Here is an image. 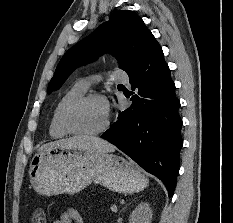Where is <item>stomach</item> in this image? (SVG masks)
<instances>
[{
  "instance_id": "stomach-1",
  "label": "stomach",
  "mask_w": 233,
  "mask_h": 223,
  "mask_svg": "<svg viewBox=\"0 0 233 223\" xmlns=\"http://www.w3.org/2000/svg\"><path fill=\"white\" fill-rule=\"evenodd\" d=\"M30 183L39 195L79 193L100 183L117 193H138L148 185L134 163L114 153H93L60 145H42L29 165Z\"/></svg>"
}]
</instances>
